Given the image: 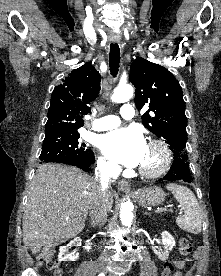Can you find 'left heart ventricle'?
Wrapping results in <instances>:
<instances>
[{
  "label": "left heart ventricle",
  "mask_w": 221,
  "mask_h": 276,
  "mask_svg": "<svg viewBox=\"0 0 221 276\" xmlns=\"http://www.w3.org/2000/svg\"><path fill=\"white\" fill-rule=\"evenodd\" d=\"M160 161V154L156 149L147 147L144 159L141 163L142 167L154 168Z\"/></svg>",
  "instance_id": "1"
}]
</instances>
